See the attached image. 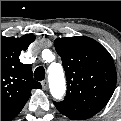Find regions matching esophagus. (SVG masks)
Here are the masks:
<instances>
[{
    "mask_svg": "<svg viewBox=\"0 0 121 121\" xmlns=\"http://www.w3.org/2000/svg\"><path fill=\"white\" fill-rule=\"evenodd\" d=\"M41 85H42V89L43 90H47V88H48V81L47 80H43Z\"/></svg>",
    "mask_w": 121,
    "mask_h": 121,
    "instance_id": "34e87169",
    "label": "esophagus"
}]
</instances>
